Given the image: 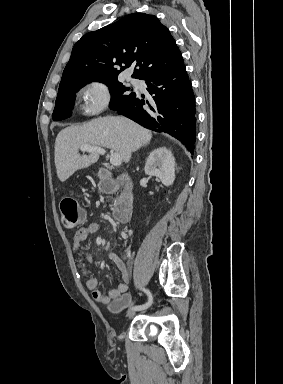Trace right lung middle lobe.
I'll list each match as a JSON object with an SVG mask.
<instances>
[{
    "label": "right lung middle lobe",
    "mask_w": 283,
    "mask_h": 384,
    "mask_svg": "<svg viewBox=\"0 0 283 384\" xmlns=\"http://www.w3.org/2000/svg\"><path fill=\"white\" fill-rule=\"evenodd\" d=\"M101 82L105 83L109 87L111 93L110 107L136 95L134 92L130 95H126V91L131 90V87L124 86L117 79H110ZM86 84L87 83H71L59 86L55 109L52 115L54 121L66 119L71 115V110L73 109L76 97L75 93Z\"/></svg>",
    "instance_id": "1"
}]
</instances>
